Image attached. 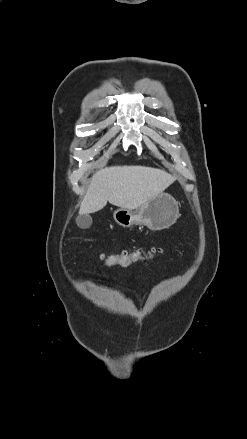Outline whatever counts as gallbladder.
I'll return each instance as SVG.
<instances>
[{"mask_svg":"<svg viewBox=\"0 0 247 439\" xmlns=\"http://www.w3.org/2000/svg\"><path fill=\"white\" fill-rule=\"evenodd\" d=\"M76 223H77L79 228L87 229L92 224V218H91V216L89 214H80L76 218Z\"/></svg>","mask_w":247,"mask_h":439,"instance_id":"gallbladder-1","label":"gallbladder"}]
</instances>
